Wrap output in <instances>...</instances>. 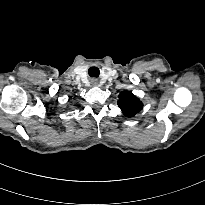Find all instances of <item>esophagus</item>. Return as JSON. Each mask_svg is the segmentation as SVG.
I'll return each instance as SVG.
<instances>
[{
  "label": "esophagus",
  "mask_w": 205,
  "mask_h": 205,
  "mask_svg": "<svg viewBox=\"0 0 205 205\" xmlns=\"http://www.w3.org/2000/svg\"><path fill=\"white\" fill-rule=\"evenodd\" d=\"M92 84H93L94 86H97V82H96V81H93Z\"/></svg>",
  "instance_id": "1"
}]
</instances>
